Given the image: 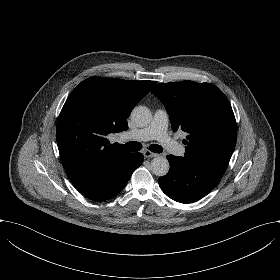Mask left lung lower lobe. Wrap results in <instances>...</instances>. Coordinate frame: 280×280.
<instances>
[{"instance_id":"left-lung-lower-lobe-1","label":"left lung lower lobe","mask_w":280,"mask_h":280,"mask_svg":"<svg viewBox=\"0 0 280 280\" xmlns=\"http://www.w3.org/2000/svg\"><path fill=\"white\" fill-rule=\"evenodd\" d=\"M169 172L158 179L162 191L171 199L180 203L195 202L220 182L226 168L185 157L168 155Z\"/></svg>"}]
</instances>
